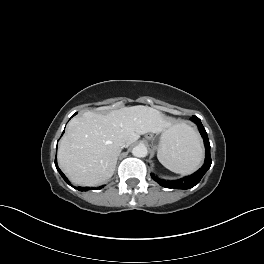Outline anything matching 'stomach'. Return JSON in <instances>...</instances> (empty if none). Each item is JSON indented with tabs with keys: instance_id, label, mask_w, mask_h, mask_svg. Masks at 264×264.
I'll return each instance as SVG.
<instances>
[{
	"instance_id": "stomach-1",
	"label": "stomach",
	"mask_w": 264,
	"mask_h": 264,
	"mask_svg": "<svg viewBox=\"0 0 264 264\" xmlns=\"http://www.w3.org/2000/svg\"><path fill=\"white\" fill-rule=\"evenodd\" d=\"M170 135L171 134H168V131L163 132L161 137H160V139H159V141H158V144L154 145V148L159 150L160 147L168 141ZM147 138L150 139V140H154L153 135H151V136H149Z\"/></svg>"
}]
</instances>
